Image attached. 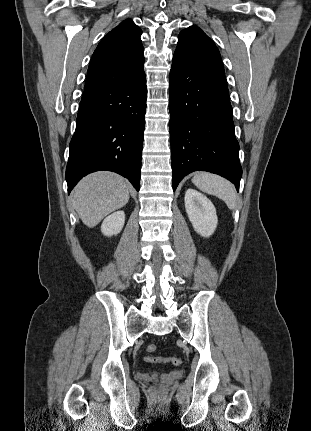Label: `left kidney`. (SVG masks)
I'll list each match as a JSON object with an SVG mask.
<instances>
[{"mask_svg":"<svg viewBox=\"0 0 311 431\" xmlns=\"http://www.w3.org/2000/svg\"><path fill=\"white\" fill-rule=\"evenodd\" d=\"M184 202L186 214L195 231L203 235V237L212 235L218 223L215 206H213L212 202L200 192L192 190V188L186 190Z\"/></svg>","mask_w":311,"mask_h":431,"instance_id":"1","label":"left kidney"}]
</instances>
